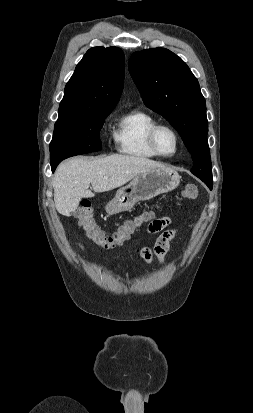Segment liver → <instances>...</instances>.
<instances>
[{
  "label": "liver",
  "mask_w": 253,
  "mask_h": 413,
  "mask_svg": "<svg viewBox=\"0 0 253 413\" xmlns=\"http://www.w3.org/2000/svg\"><path fill=\"white\" fill-rule=\"evenodd\" d=\"M167 168L153 160L127 155H111L95 159L73 158L56 170L52 185L57 211L65 216L73 213L82 198L94 197L89 190L106 192L118 188L141 173Z\"/></svg>",
  "instance_id": "obj_1"
}]
</instances>
